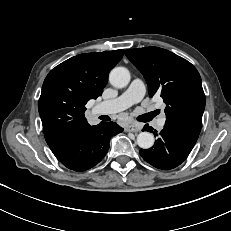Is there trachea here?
<instances>
[{"label": "trachea", "mask_w": 231, "mask_h": 231, "mask_svg": "<svg viewBox=\"0 0 231 231\" xmlns=\"http://www.w3.org/2000/svg\"><path fill=\"white\" fill-rule=\"evenodd\" d=\"M156 115H157L156 111L146 113V114H143V115L139 116L138 120L142 121V122H147V121H150L152 118H154Z\"/></svg>", "instance_id": "obj_1"}]
</instances>
